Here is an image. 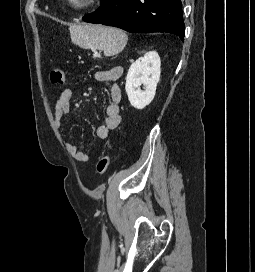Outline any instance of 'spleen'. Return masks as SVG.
Returning a JSON list of instances; mask_svg holds the SVG:
<instances>
[{
  "instance_id": "3e777b00",
  "label": "spleen",
  "mask_w": 255,
  "mask_h": 272,
  "mask_svg": "<svg viewBox=\"0 0 255 272\" xmlns=\"http://www.w3.org/2000/svg\"><path fill=\"white\" fill-rule=\"evenodd\" d=\"M71 40L81 48L103 51L105 56L120 53L128 36L121 29L102 25L74 24L70 28Z\"/></svg>"
}]
</instances>
